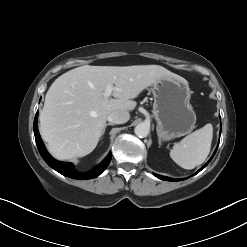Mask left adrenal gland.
<instances>
[{
    "mask_svg": "<svg viewBox=\"0 0 247 247\" xmlns=\"http://www.w3.org/2000/svg\"><path fill=\"white\" fill-rule=\"evenodd\" d=\"M158 136H159V135H158ZM158 141H159V145H161V137H160V136H159V140H158Z\"/></svg>",
    "mask_w": 247,
    "mask_h": 247,
    "instance_id": "left-adrenal-gland-1",
    "label": "left adrenal gland"
}]
</instances>
